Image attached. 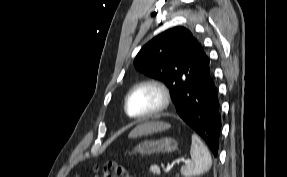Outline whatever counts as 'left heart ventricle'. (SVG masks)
I'll return each instance as SVG.
<instances>
[{"mask_svg": "<svg viewBox=\"0 0 287 177\" xmlns=\"http://www.w3.org/2000/svg\"><path fill=\"white\" fill-rule=\"evenodd\" d=\"M160 102L159 94L151 88H141L133 92L128 102V111L133 116L153 110Z\"/></svg>", "mask_w": 287, "mask_h": 177, "instance_id": "1", "label": "left heart ventricle"}]
</instances>
